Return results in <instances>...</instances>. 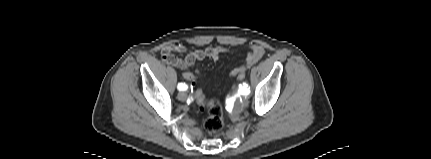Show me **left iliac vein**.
Here are the masks:
<instances>
[{"label": "left iliac vein", "instance_id": "1", "mask_svg": "<svg viewBox=\"0 0 431 159\" xmlns=\"http://www.w3.org/2000/svg\"><path fill=\"white\" fill-rule=\"evenodd\" d=\"M242 103H243V105H246L248 103V99L246 97H244Z\"/></svg>", "mask_w": 431, "mask_h": 159}]
</instances>
